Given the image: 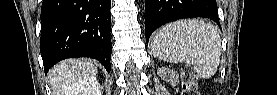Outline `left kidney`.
<instances>
[{
    "label": "left kidney",
    "instance_id": "5707ae66",
    "mask_svg": "<svg viewBox=\"0 0 277 95\" xmlns=\"http://www.w3.org/2000/svg\"><path fill=\"white\" fill-rule=\"evenodd\" d=\"M159 71L161 73V76L164 77L165 79L172 80L175 77V73L166 68H161V69H159Z\"/></svg>",
    "mask_w": 277,
    "mask_h": 95
}]
</instances>
